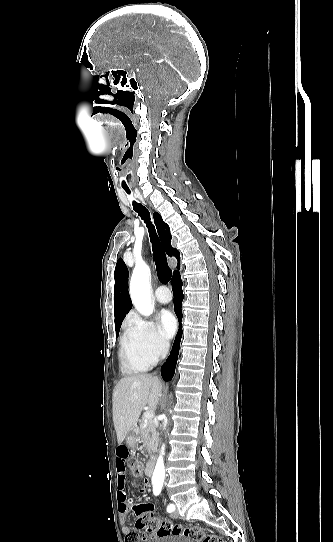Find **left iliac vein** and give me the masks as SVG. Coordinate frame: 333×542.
<instances>
[{"label":"left iliac vein","mask_w":333,"mask_h":542,"mask_svg":"<svg viewBox=\"0 0 333 542\" xmlns=\"http://www.w3.org/2000/svg\"><path fill=\"white\" fill-rule=\"evenodd\" d=\"M177 516H178V514H177V512H175V513L173 514V517H177Z\"/></svg>","instance_id":"obj_1"}]
</instances>
